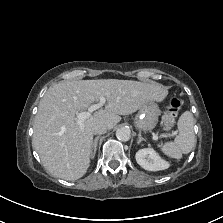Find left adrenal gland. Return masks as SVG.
I'll use <instances>...</instances> for the list:
<instances>
[{
    "label": "left adrenal gland",
    "mask_w": 223,
    "mask_h": 223,
    "mask_svg": "<svg viewBox=\"0 0 223 223\" xmlns=\"http://www.w3.org/2000/svg\"><path fill=\"white\" fill-rule=\"evenodd\" d=\"M142 141H146V140L142 137L141 133H139L137 143L140 144Z\"/></svg>",
    "instance_id": "1"
}]
</instances>
